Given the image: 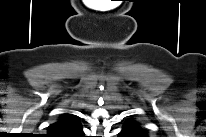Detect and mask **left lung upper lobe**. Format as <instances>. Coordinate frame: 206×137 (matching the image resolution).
<instances>
[{"label": "left lung upper lobe", "instance_id": "5c2ea615", "mask_svg": "<svg viewBox=\"0 0 206 137\" xmlns=\"http://www.w3.org/2000/svg\"><path fill=\"white\" fill-rule=\"evenodd\" d=\"M123 128L132 129L138 133L143 134V136H147L146 130L144 128H142L140 126V124L137 121H135L134 119L127 120L126 123L123 125Z\"/></svg>", "mask_w": 206, "mask_h": 137}]
</instances>
